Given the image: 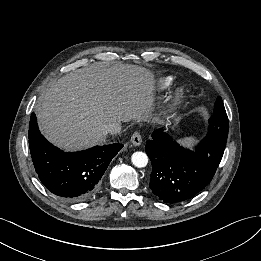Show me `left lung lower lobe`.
<instances>
[{"label":"left lung lower lobe","mask_w":261,"mask_h":261,"mask_svg":"<svg viewBox=\"0 0 261 261\" xmlns=\"http://www.w3.org/2000/svg\"><path fill=\"white\" fill-rule=\"evenodd\" d=\"M209 122L208 134L194 151L180 146L161 129L147 141L146 153L152 163L149 187L163 202L189 200L212 180L225 150L215 135L224 134L227 128L217 119Z\"/></svg>","instance_id":"0a47b994"}]
</instances>
